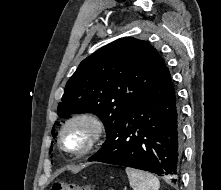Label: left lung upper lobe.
I'll list each match as a JSON object with an SVG mask.
<instances>
[{
	"instance_id": "1",
	"label": "left lung upper lobe",
	"mask_w": 221,
	"mask_h": 190,
	"mask_svg": "<svg viewBox=\"0 0 221 190\" xmlns=\"http://www.w3.org/2000/svg\"><path fill=\"white\" fill-rule=\"evenodd\" d=\"M165 66L148 42L132 37L118 39L80 63L66 84L58 116L95 113L108 133L137 104Z\"/></svg>"
}]
</instances>
